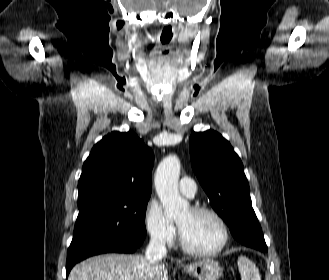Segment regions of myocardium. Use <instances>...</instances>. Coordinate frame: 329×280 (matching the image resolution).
<instances>
[{"label": "myocardium", "instance_id": "myocardium-1", "mask_svg": "<svg viewBox=\"0 0 329 280\" xmlns=\"http://www.w3.org/2000/svg\"><path fill=\"white\" fill-rule=\"evenodd\" d=\"M194 214H206L215 219L221 228L222 238L217 247L211 250H198L189 246L183 238L180 228L178 227L179 242L182 250L189 255L197 257H213L221 253L227 246L230 238L229 228L224 218L214 209L206 206L195 205L190 208Z\"/></svg>", "mask_w": 329, "mask_h": 280}]
</instances>
